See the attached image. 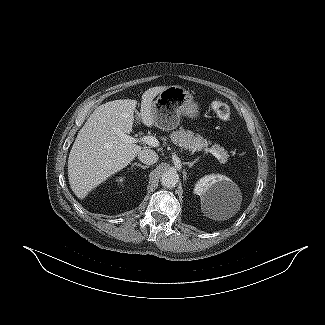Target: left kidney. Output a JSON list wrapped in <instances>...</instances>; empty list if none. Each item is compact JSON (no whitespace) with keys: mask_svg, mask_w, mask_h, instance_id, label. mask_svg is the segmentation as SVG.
<instances>
[{"mask_svg":"<svg viewBox=\"0 0 325 325\" xmlns=\"http://www.w3.org/2000/svg\"><path fill=\"white\" fill-rule=\"evenodd\" d=\"M235 188V184L226 176L209 175L200 179L195 185V193L200 196L201 203L215 206H225Z\"/></svg>","mask_w":325,"mask_h":325,"instance_id":"left-kidney-1","label":"left kidney"}]
</instances>
